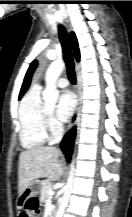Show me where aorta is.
<instances>
[{
    "mask_svg": "<svg viewBox=\"0 0 132 217\" xmlns=\"http://www.w3.org/2000/svg\"><path fill=\"white\" fill-rule=\"evenodd\" d=\"M64 67L65 64L62 60H55L50 64L49 68L47 69L45 75L46 88L42 94L43 100L47 106L53 107L57 103L59 92L57 90L56 82L60 74L62 73ZM74 172H75L74 161H72L69 179L73 178ZM67 203H68V198L64 197L61 201L56 217L63 216Z\"/></svg>",
    "mask_w": 132,
    "mask_h": 217,
    "instance_id": "obj_1",
    "label": "aorta"
}]
</instances>
